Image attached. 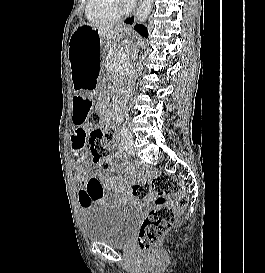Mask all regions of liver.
Returning <instances> with one entry per match:
<instances>
[{
    "instance_id": "liver-1",
    "label": "liver",
    "mask_w": 265,
    "mask_h": 273,
    "mask_svg": "<svg viewBox=\"0 0 265 273\" xmlns=\"http://www.w3.org/2000/svg\"><path fill=\"white\" fill-rule=\"evenodd\" d=\"M79 25H87V26L93 28L94 30H97L102 35H109L112 39L122 29L121 25L113 26V25H107V24H102V23H84V22H81ZM79 25H77L76 27H78ZM76 27H75V29H76Z\"/></svg>"
}]
</instances>
